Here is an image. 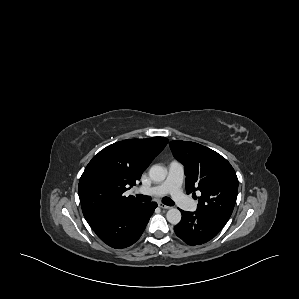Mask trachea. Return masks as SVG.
I'll return each instance as SVG.
<instances>
[{"label":"trachea","mask_w":299,"mask_h":299,"mask_svg":"<svg viewBox=\"0 0 299 299\" xmlns=\"http://www.w3.org/2000/svg\"><path fill=\"white\" fill-rule=\"evenodd\" d=\"M137 199L142 201V202H150L151 201V197L149 196H145V195H137ZM162 202L165 204V205H168V206H173L175 203L173 202V200H171L170 198H163L162 199Z\"/></svg>","instance_id":"obj_1"}]
</instances>
